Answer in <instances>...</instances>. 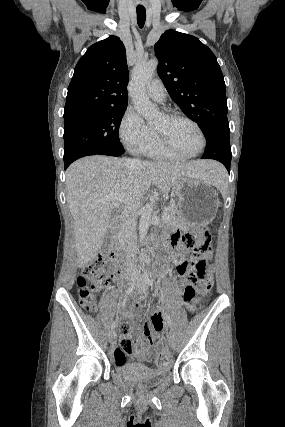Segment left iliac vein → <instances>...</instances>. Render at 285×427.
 Listing matches in <instances>:
<instances>
[{
    "label": "left iliac vein",
    "mask_w": 285,
    "mask_h": 427,
    "mask_svg": "<svg viewBox=\"0 0 285 427\" xmlns=\"http://www.w3.org/2000/svg\"><path fill=\"white\" fill-rule=\"evenodd\" d=\"M138 281L139 282H138V285L136 287V290L138 292H141V293L146 292L148 289L147 285L145 284L144 279L140 275L138 276ZM168 343H169L171 348H175V346H176L175 340H174L171 333L168 335Z\"/></svg>",
    "instance_id": "1"
}]
</instances>
